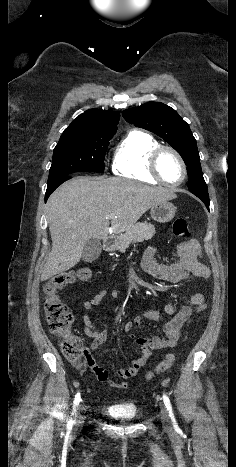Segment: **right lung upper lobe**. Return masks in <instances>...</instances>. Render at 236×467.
Instances as JSON below:
<instances>
[{
    "mask_svg": "<svg viewBox=\"0 0 236 467\" xmlns=\"http://www.w3.org/2000/svg\"><path fill=\"white\" fill-rule=\"evenodd\" d=\"M119 113L110 110H87L73 120L64 132L97 134L115 133L119 121Z\"/></svg>",
    "mask_w": 236,
    "mask_h": 467,
    "instance_id": "1",
    "label": "right lung upper lobe"
}]
</instances>
